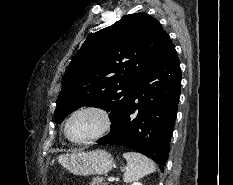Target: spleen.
I'll return each instance as SVG.
<instances>
[{
    "mask_svg": "<svg viewBox=\"0 0 233 185\" xmlns=\"http://www.w3.org/2000/svg\"><path fill=\"white\" fill-rule=\"evenodd\" d=\"M123 157L127 161L123 180L126 183L136 182L147 174L155 172L152 160L137 152H126Z\"/></svg>",
    "mask_w": 233,
    "mask_h": 185,
    "instance_id": "spleen-1",
    "label": "spleen"
}]
</instances>
